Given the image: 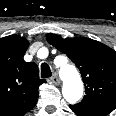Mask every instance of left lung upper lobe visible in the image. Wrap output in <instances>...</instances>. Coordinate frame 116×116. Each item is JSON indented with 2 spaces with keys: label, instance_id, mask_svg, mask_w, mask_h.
<instances>
[{
  "label": "left lung upper lobe",
  "instance_id": "5c2ea615",
  "mask_svg": "<svg viewBox=\"0 0 116 116\" xmlns=\"http://www.w3.org/2000/svg\"><path fill=\"white\" fill-rule=\"evenodd\" d=\"M46 38L80 70L86 95L76 106L113 111L116 108V51L89 38L63 39L51 33Z\"/></svg>",
  "mask_w": 116,
  "mask_h": 116
}]
</instances>
